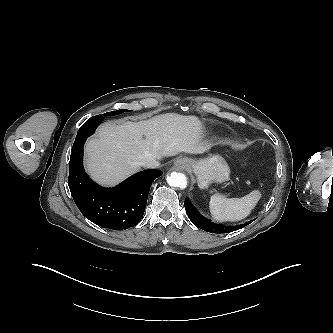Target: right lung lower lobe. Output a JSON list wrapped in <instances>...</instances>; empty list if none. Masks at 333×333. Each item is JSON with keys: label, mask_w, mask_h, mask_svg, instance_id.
Listing matches in <instances>:
<instances>
[{"label": "right lung lower lobe", "mask_w": 333, "mask_h": 333, "mask_svg": "<svg viewBox=\"0 0 333 333\" xmlns=\"http://www.w3.org/2000/svg\"><path fill=\"white\" fill-rule=\"evenodd\" d=\"M102 117L93 116L80 127L71 150L68 185L77 207L90 221L108 229H128L142 219L150 186L162 171H141L113 188L90 180L83 167V145Z\"/></svg>", "instance_id": "right-lung-lower-lobe-1"}]
</instances>
